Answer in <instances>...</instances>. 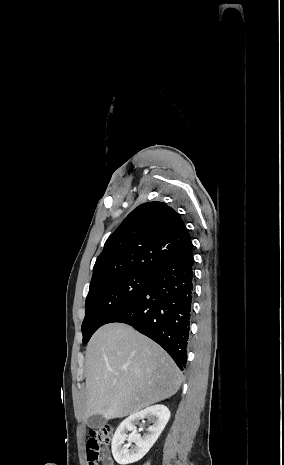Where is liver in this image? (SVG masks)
<instances>
[{
	"mask_svg": "<svg viewBox=\"0 0 284 465\" xmlns=\"http://www.w3.org/2000/svg\"><path fill=\"white\" fill-rule=\"evenodd\" d=\"M181 373L159 345L123 323L98 329L86 349L83 419H117L177 393Z\"/></svg>",
	"mask_w": 284,
	"mask_h": 465,
	"instance_id": "1",
	"label": "liver"
}]
</instances>
